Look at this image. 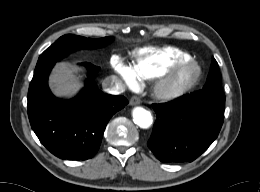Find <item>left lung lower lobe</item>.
Returning a JSON list of instances; mask_svg holds the SVG:
<instances>
[{
	"label": "left lung lower lobe",
	"instance_id": "0a47b994",
	"mask_svg": "<svg viewBox=\"0 0 260 192\" xmlns=\"http://www.w3.org/2000/svg\"><path fill=\"white\" fill-rule=\"evenodd\" d=\"M222 89H202L167 103L157 115L148 147L162 162H192L217 138L224 120Z\"/></svg>",
	"mask_w": 260,
	"mask_h": 192
}]
</instances>
